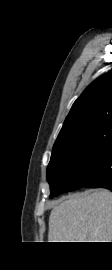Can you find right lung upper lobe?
<instances>
[{"mask_svg":"<svg viewBox=\"0 0 112 270\" xmlns=\"http://www.w3.org/2000/svg\"><path fill=\"white\" fill-rule=\"evenodd\" d=\"M110 121H112V70L92 82L75 101L54 146Z\"/></svg>","mask_w":112,"mask_h":270,"instance_id":"right-lung-upper-lobe-1","label":"right lung upper lobe"}]
</instances>
